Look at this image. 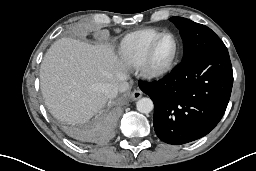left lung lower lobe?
Wrapping results in <instances>:
<instances>
[{"instance_id": "0a47b994", "label": "left lung lower lobe", "mask_w": 256, "mask_h": 171, "mask_svg": "<svg viewBox=\"0 0 256 171\" xmlns=\"http://www.w3.org/2000/svg\"><path fill=\"white\" fill-rule=\"evenodd\" d=\"M233 85L227 49L194 54L156 82L139 81L153 100L157 136L180 145L208 134L221 120Z\"/></svg>"}]
</instances>
